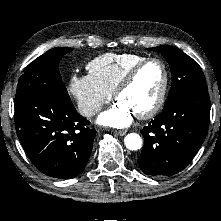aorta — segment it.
Instances as JSON below:
<instances>
[{
  "instance_id": "762f6f07",
  "label": "aorta",
  "mask_w": 221,
  "mask_h": 221,
  "mask_svg": "<svg viewBox=\"0 0 221 221\" xmlns=\"http://www.w3.org/2000/svg\"><path fill=\"white\" fill-rule=\"evenodd\" d=\"M126 148L136 151L142 146V139L137 133L127 134L124 138Z\"/></svg>"
}]
</instances>
